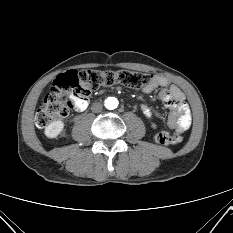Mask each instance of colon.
I'll return each mask as SVG.
<instances>
[{"mask_svg":"<svg viewBox=\"0 0 233 233\" xmlns=\"http://www.w3.org/2000/svg\"><path fill=\"white\" fill-rule=\"evenodd\" d=\"M151 80L147 73L121 71L81 70L66 71L60 74L54 82L51 91L45 96L35 115V123L39 128H45L52 121L67 116L77 104L88 100L91 93L100 87L123 85L129 88L141 89ZM155 142L167 146L181 142L178 132H158L154 136Z\"/></svg>","mask_w":233,"mask_h":233,"instance_id":"obj_1","label":"colon"}]
</instances>
